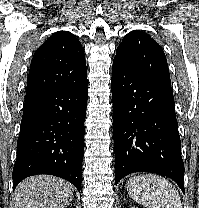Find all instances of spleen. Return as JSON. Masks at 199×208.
<instances>
[{
    "label": "spleen",
    "instance_id": "3e777b00",
    "mask_svg": "<svg viewBox=\"0 0 199 208\" xmlns=\"http://www.w3.org/2000/svg\"><path fill=\"white\" fill-rule=\"evenodd\" d=\"M129 196L148 208H182L181 198L175 187L158 175H138L126 183Z\"/></svg>",
    "mask_w": 199,
    "mask_h": 208
}]
</instances>
